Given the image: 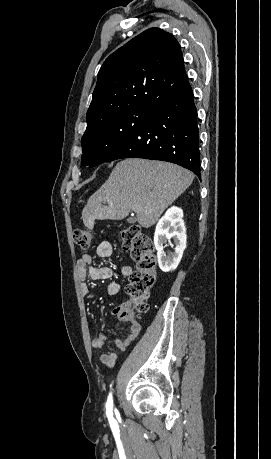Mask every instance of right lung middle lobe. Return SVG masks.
<instances>
[{
	"label": "right lung middle lobe",
	"instance_id": "dd1d6c3e",
	"mask_svg": "<svg viewBox=\"0 0 271 459\" xmlns=\"http://www.w3.org/2000/svg\"><path fill=\"white\" fill-rule=\"evenodd\" d=\"M156 108L139 105L126 111L99 116L87 122L82 137V165L94 167L106 159L148 118Z\"/></svg>",
	"mask_w": 271,
	"mask_h": 459
}]
</instances>
